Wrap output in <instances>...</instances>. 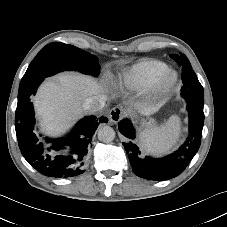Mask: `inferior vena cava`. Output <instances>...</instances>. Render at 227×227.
Returning a JSON list of instances; mask_svg holds the SVG:
<instances>
[{
	"label": "inferior vena cava",
	"mask_w": 227,
	"mask_h": 227,
	"mask_svg": "<svg viewBox=\"0 0 227 227\" xmlns=\"http://www.w3.org/2000/svg\"><path fill=\"white\" fill-rule=\"evenodd\" d=\"M106 97L101 95L98 97H91L84 100L82 107L88 113H96L102 111L105 106Z\"/></svg>",
	"instance_id": "1"
}]
</instances>
